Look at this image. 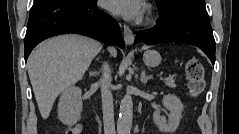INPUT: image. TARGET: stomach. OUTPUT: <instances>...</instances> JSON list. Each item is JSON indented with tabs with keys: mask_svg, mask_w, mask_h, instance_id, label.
I'll list each match as a JSON object with an SVG mask.
<instances>
[{
	"mask_svg": "<svg viewBox=\"0 0 239 134\" xmlns=\"http://www.w3.org/2000/svg\"><path fill=\"white\" fill-rule=\"evenodd\" d=\"M143 61L149 67H156L161 63V56L155 50H147L143 54Z\"/></svg>",
	"mask_w": 239,
	"mask_h": 134,
	"instance_id": "1",
	"label": "stomach"
}]
</instances>
